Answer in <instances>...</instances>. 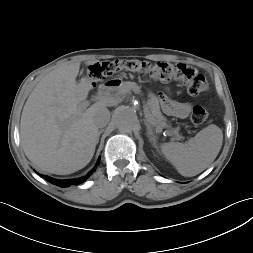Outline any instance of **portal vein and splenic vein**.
Masks as SVG:
<instances>
[{
  "mask_svg": "<svg viewBox=\"0 0 253 253\" xmlns=\"http://www.w3.org/2000/svg\"><path fill=\"white\" fill-rule=\"evenodd\" d=\"M138 91V90H137ZM90 105V102L89 101H85L83 103H81L79 105L80 109L81 110H85L88 106ZM144 114L145 116L147 117V119L152 123V124H155L156 125V122L154 120V117L153 115L150 113V110H149V107L147 106V104L144 105ZM158 130H160V127H158ZM174 133H177L176 131H174Z\"/></svg>",
  "mask_w": 253,
  "mask_h": 253,
  "instance_id": "18ae733b",
  "label": "portal vein and splenic vein"
}]
</instances>
